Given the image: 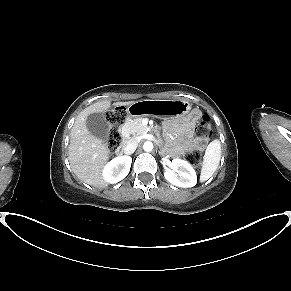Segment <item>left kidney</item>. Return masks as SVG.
Instances as JSON below:
<instances>
[{"label": "left kidney", "instance_id": "1", "mask_svg": "<svg viewBox=\"0 0 291 291\" xmlns=\"http://www.w3.org/2000/svg\"><path fill=\"white\" fill-rule=\"evenodd\" d=\"M172 166L176 171L169 168H166L164 171V176L167 181L182 188L193 187L196 185L197 175L190 163L175 158L172 160Z\"/></svg>", "mask_w": 291, "mask_h": 291}]
</instances>
